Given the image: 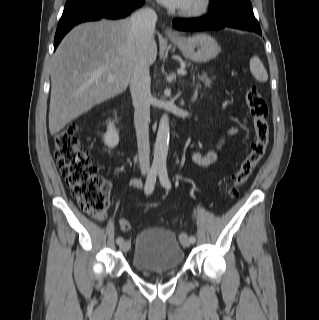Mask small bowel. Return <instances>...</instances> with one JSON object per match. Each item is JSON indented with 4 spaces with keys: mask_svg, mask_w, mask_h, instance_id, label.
Returning <instances> with one entry per match:
<instances>
[{
    "mask_svg": "<svg viewBox=\"0 0 319 320\" xmlns=\"http://www.w3.org/2000/svg\"><path fill=\"white\" fill-rule=\"evenodd\" d=\"M231 132H233V130L229 131V133ZM221 142L222 140H220V143ZM193 159L197 164L205 166L214 162V160L216 159V154L214 152H209L206 154L194 153ZM142 185H143L142 181L139 178H133L129 182V186L133 188H139V187H142Z\"/></svg>",
    "mask_w": 319,
    "mask_h": 320,
    "instance_id": "small-bowel-1",
    "label": "small bowel"
}]
</instances>
